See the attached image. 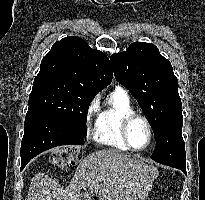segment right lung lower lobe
<instances>
[{
  "label": "right lung lower lobe",
  "instance_id": "right-lung-lower-lobe-1",
  "mask_svg": "<svg viewBox=\"0 0 205 200\" xmlns=\"http://www.w3.org/2000/svg\"><path fill=\"white\" fill-rule=\"evenodd\" d=\"M84 138L77 135L51 114L29 108L25 118L24 136L21 142V168L36 155L59 145H81Z\"/></svg>",
  "mask_w": 205,
  "mask_h": 200
}]
</instances>
